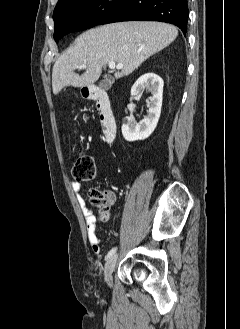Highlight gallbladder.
Wrapping results in <instances>:
<instances>
[{
	"instance_id": "1",
	"label": "gallbladder",
	"mask_w": 240,
	"mask_h": 329,
	"mask_svg": "<svg viewBox=\"0 0 240 329\" xmlns=\"http://www.w3.org/2000/svg\"><path fill=\"white\" fill-rule=\"evenodd\" d=\"M99 87L103 90H108L110 88V83L107 79H104L99 83Z\"/></svg>"
}]
</instances>
